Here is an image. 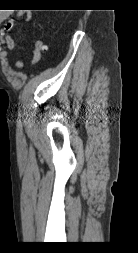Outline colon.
Masks as SVG:
<instances>
[{"instance_id": "colon-1", "label": "colon", "mask_w": 138, "mask_h": 253, "mask_svg": "<svg viewBox=\"0 0 138 253\" xmlns=\"http://www.w3.org/2000/svg\"><path fill=\"white\" fill-rule=\"evenodd\" d=\"M44 51H45L44 42L42 40H37L33 47V58L35 62L41 59Z\"/></svg>"}]
</instances>
